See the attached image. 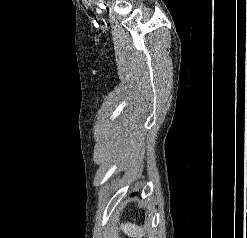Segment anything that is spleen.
I'll use <instances>...</instances> for the list:
<instances>
[{
  "instance_id": "3e777b00",
  "label": "spleen",
  "mask_w": 247,
  "mask_h": 238,
  "mask_svg": "<svg viewBox=\"0 0 247 238\" xmlns=\"http://www.w3.org/2000/svg\"><path fill=\"white\" fill-rule=\"evenodd\" d=\"M122 230L131 238H141L144 235L143 228L134 223H127L122 225Z\"/></svg>"
}]
</instances>
